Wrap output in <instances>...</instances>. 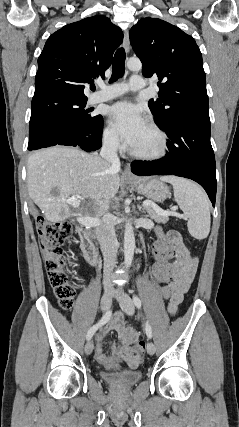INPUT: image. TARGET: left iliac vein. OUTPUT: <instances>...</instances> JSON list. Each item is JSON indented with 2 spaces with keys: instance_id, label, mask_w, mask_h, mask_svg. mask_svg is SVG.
Listing matches in <instances>:
<instances>
[{
  "instance_id": "left-iliac-vein-1",
  "label": "left iliac vein",
  "mask_w": 239,
  "mask_h": 427,
  "mask_svg": "<svg viewBox=\"0 0 239 427\" xmlns=\"http://www.w3.org/2000/svg\"><path fill=\"white\" fill-rule=\"evenodd\" d=\"M120 299L119 304L121 309L127 314V315H133L134 314V304L132 299L129 297V295L127 293H125L124 291H120ZM155 345L153 342H148L147 343V352L150 355H153L155 353Z\"/></svg>"
}]
</instances>
